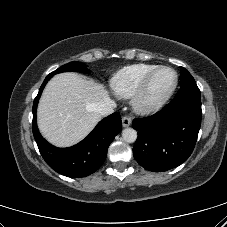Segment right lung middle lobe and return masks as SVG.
I'll return each mask as SVG.
<instances>
[{
  "instance_id": "1",
  "label": "right lung middle lobe",
  "mask_w": 227,
  "mask_h": 227,
  "mask_svg": "<svg viewBox=\"0 0 227 227\" xmlns=\"http://www.w3.org/2000/svg\"><path fill=\"white\" fill-rule=\"evenodd\" d=\"M68 71H78V72H83V73L89 72V70H88V68L86 67L85 64H83L81 62L74 61V62H70V63L63 65L59 69L50 73V75H55L57 73L68 72Z\"/></svg>"
}]
</instances>
